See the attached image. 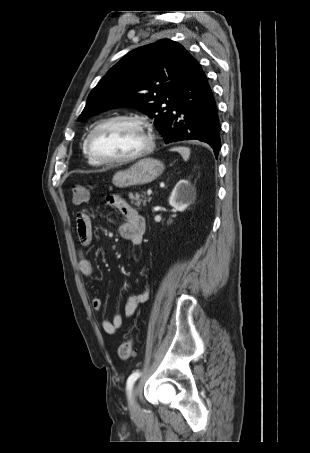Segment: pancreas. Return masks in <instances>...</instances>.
I'll list each match as a JSON object with an SVG mask.
<instances>
[{
  "label": "pancreas",
  "mask_w": 310,
  "mask_h": 453,
  "mask_svg": "<svg viewBox=\"0 0 310 453\" xmlns=\"http://www.w3.org/2000/svg\"><path fill=\"white\" fill-rule=\"evenodd\" d=\"M129 198L131 200V203L134 204L135 206H137L138 208H140L141 204H143V206H146L147 202H150V200H151L150 197L145 196L144 192L141 194L135 193V195L130 193Z\"/></svg>",
  "instance_id": "1"
}]
</instances>
